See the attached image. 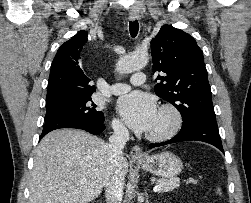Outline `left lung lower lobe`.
Listing matches in <instances>:
<instances>
[{
	"label": "left lung lower lobe",
	"mask_w": 251,
	"mask_h": 203,
	"mask_svg": "<svg viewBox=\"0 0 251 203\" xmlns=\"http://www.w3.org/2000/svg\"><path fill=\"white\" fill-rule=\"evenodd\" d=\"M193 140L209 143L224 152L218 127L205 123H197L188 128H182L181 131L172 139L162 143L150 144L149 147L154 148L171 143Z\"/></svg>",
	"instance_id": "0a47b994"
}]
</instances>
